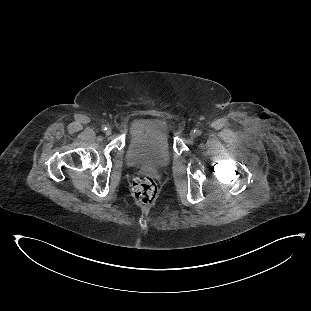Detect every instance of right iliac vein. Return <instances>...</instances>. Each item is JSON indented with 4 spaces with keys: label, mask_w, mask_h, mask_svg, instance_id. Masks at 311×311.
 Instances as JSON below:
<instances>
[{
    "label": "right iliac vein",
    "mask_w": 311,
    "mask_h": 311,
    "mask_svg": "<svg viewBox=\"0 0 311 311\" xmlns=\"http://www.w3.org/2000/svg\"><path fill=\"white\" fill-rule=\"evenodd\" d=\"M111 133H112L111 128H108L107 131H106V134H107V135H110Z\"/></svg>",
    "instance_id": "1"
}]
</instances>
